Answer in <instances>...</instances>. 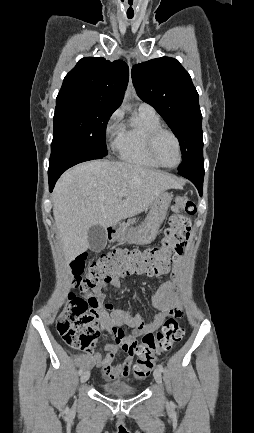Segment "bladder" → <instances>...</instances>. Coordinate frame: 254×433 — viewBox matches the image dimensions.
<instances>
[{"instance_id":"obj_1","label":"bladder","mask_w":254,"mask_h":433,"mask_svg":"<svg viewBox=\"0 0 254 433\" xmlns=\"http://www.w3.org/2000/svg\"><path fill=\"white\" fill-rule=\"evenodd\" d=\"M100 389L104 394L113 397L134 396L137 393L136 388L123 382L103 383Z\"/></svg>"}]
</instances>
